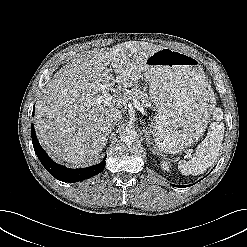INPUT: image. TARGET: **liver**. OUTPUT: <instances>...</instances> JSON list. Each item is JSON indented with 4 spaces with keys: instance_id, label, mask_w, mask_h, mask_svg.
<instances>
[{
    "instance_id": "6515ba94",
    "label": "liver",
    "mask_w": 247,
    "mask_h": 247,
    "mask_svg": "<svg viewBox=\"0 0 247 247\" xmlns=\"http://www.w3.org/2000/svg\"><path fill=\"white\" fill-rule=\"evenodd\" d=\"M162 46L129 41L80 54L63 66L42 90L35 109L40 144L71 164L96 159L107 141L105 117L120 112L131 97L130 87L143 77V65ZM112 65V69L107 66ZM120 85L110 106L99 104L100 93Z\"/></svg>"
}]
</instances>
